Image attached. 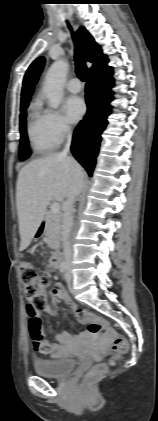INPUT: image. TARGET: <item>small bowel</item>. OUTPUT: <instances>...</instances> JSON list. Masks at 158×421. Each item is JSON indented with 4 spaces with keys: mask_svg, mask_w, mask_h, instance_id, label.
Masks as SVG:
<instances>
[{
    "mask_svg": "<svg viewBox=\"0 0 158 421\" xmlns=\"http://www.w3.org/2000/svg\"><path fill=\"white\" fill-rule=\"evenodd\" d=\"M52 297L54 300L63 301L76 315L77 321L80 324H85L81 316H93L89 312L79 309L77 305L72 301L65 288L57 283L52 289ZM44 311L51 313V306L46 305ZM28 311V310H27ZM29 315V311H28ZM29 333L32 340L33 349L41 354L50 355L53 358L65 357L68 354V349L65 347L67 344H82L87 341L86 335L79 337L75 336L73 332L64 331L61 333H55L54 341L51 342L47 334L43 331L41 322L39 325H34L31 322L29 315ZM111 343V339L108 336H104L102 342L95 348L97 353H104L108 349V345Z\"/></svg>",
    "mask_w": 158,
    "mask_h": 421,
    "instance_id": "c3829d8e",
    "label": "small bowel"
}]
</instances>
